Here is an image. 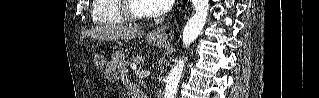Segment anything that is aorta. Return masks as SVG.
Listing matches in <instances>:
<instances>
[{
	"label": "aorta",
	"instance_id": "1",
	"mask_svg": "<svg viewBox=\"0 0 319 98\" xmlns=\"http://www.w3.org/2000/svg\"><path fill=\"white\" fill-rule=\"evenodd\" d=\"M195 13L188 20L182 34V41L185 46H189L200 35L208 14L209 0H193ZM185 67L184 60H179L171 70L164 91V98H175L178 84L181 80Z\"/></svg>",
	"mask_w": 319,
	"mask_h": 98
}]
</instances>
